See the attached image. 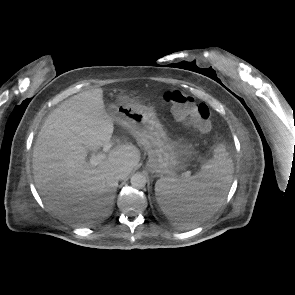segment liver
<instances>
[{"mask_svg":"<svg viewBox=\"0 0 295 295\" xmlns=\"http://www.w3.org/2000/svg\"><path fill=\"white\" fill-rule=\"evenodd\" d=\"M113 131L101 88L70 97L45 120L33 149L34 181L60 219L101 215L114 199L116 170L125 167L129 174L138 165L140 151L129 142L117 145L96 166L86 161L88 150L108 143Z\"/></svg>","mask_w":295,"mask_h":295,"instance_id":"1","label":"liver"}]
</instances>
